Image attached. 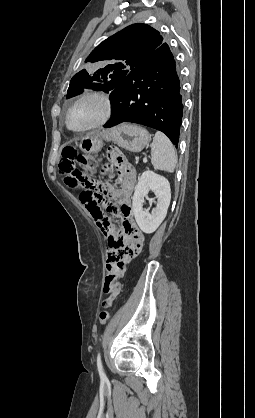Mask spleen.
Wrapping results in <instances>:
<instances>
[{"mask_svg": "<svg viewBox=\"0 0 255 418\" xmlns=\"http://www.w3.org/2000/svg\"><path fill=\"white\" fill-rule=\"evenodd\" d=\"M151 163L155 169L172 173L177 164L175 148L162 132L155 133L151 144Z\"/></svg>", "mask_w": 255, "mask_h": 418, "instance_id": "spleen-1", "label": "spleen"}]
</instances>
